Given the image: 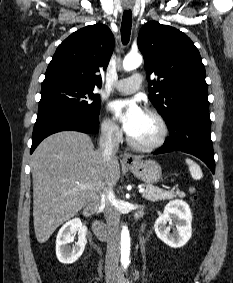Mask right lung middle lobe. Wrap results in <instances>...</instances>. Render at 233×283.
<instances>
[{
  "label": "right lung middle lobe",
  "instance_id": "obj_1",
  "mask_svg": "<svg viewBox=\"0 0 233 283\" xmlns=\"http://www.w3.org/2000/svg\"><path fill=\"white\" fill-rule=\"evenodd\" d=\"M58 109L86 116H98L99 95L94 89L72 83L54 81L42 83L38 113Z\"/></svg>",
  "mask_w": 233,
  "mask_h": 283
}]
</instances>
